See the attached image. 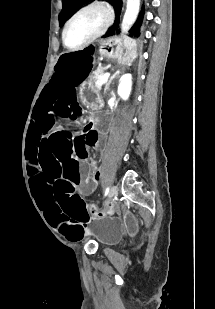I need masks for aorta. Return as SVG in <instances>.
Returning <instances> with one entry per match:
<instances>
[{"instance_id": "1", "label": "aorta", "mask_w": 215, "mask_h": 309, "mask_svg": "<svg viewBox=\"0 0 215 309\" xmlns=\"http://www.w3.org/2000/svg\"><path fill=\"white\" fill-rule=\"evenodd\" d=\"M140 0H128L126 12L121 24L122 32H127L134 24L139 12Z\"/></svg>"}]
</instances>
